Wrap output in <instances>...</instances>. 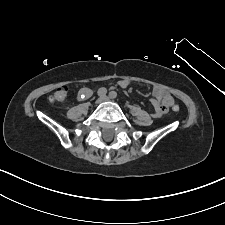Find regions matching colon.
<instances>
[{"instance_id":"1","label":"colon","mask_w":225,"mask_h":225,"mask_svg":"<svg viewBox=\"0 0 225 225\" xmlns=\"http://www.w3.org/2000/svg\"><path fill=\"white\" fill-rule=\"evenodd\" d=\"M68 98V88L66 85L58 86L55 91L49 96V101L52 103H65ZM173 112H179L180 106L175 104L172 106Z\"/></svg>"}]
</instances>
